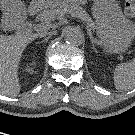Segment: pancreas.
<instances>
[{"label": "pancreas", "mask_w": 135, "mask_h": 135, "mask_svg": "<svg viewBox=\"0 0 135 135\" xmlns=\"http://www.w3.org/2000/svg\"><path fill=\"white\" fill-rule=\"evenodd\" d=\"M65 4L69 8L70 12L84 19L89 27H91L92 29L96 28L91 17H89L87 12L81 6H79L80 2L78 0H66ZM63 15V6L54 7L40 12L36 17V20L41 21L42 24H48V28H50V23Z\"/></svg>", "instance_id": "cf45deb5"}]
</instances>
